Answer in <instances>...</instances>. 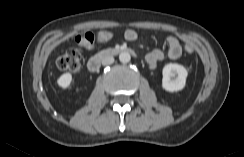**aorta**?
<instances>
[{"label": "aorta", "instance_id": "obj_1", "mask_svg": "<svg viewBox=\"0 0 244 157\" xmlns=\"http://www.w3.org/2000/svg\"><path fill=\"white\" fill-rule=\"evenodd\" d=\"M119 60L121 63H128L131 60V56L128 52H122L119 54Z\"/></svg>", "mask_w": 244, "mask_h": 157}]
</instances>
